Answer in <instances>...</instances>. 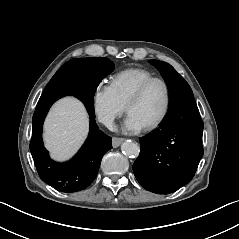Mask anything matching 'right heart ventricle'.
I'll use <instances>...</instances> for the list:
<instances>
[{
	"instance_id": "e07e8e85",
	"label": "right heart ventricle",
	"mask_w": 239,
	"mask_h": 239,
	"mask_svg": "<svg viewBox=\"0 0 239 239\" xmlns=\"http://www.w3.org/2000/svg\"><path fill=\"white\" fill-rule=\"evenodd\" d=\"M152 77H154L153 74L146 69L131 67L116 72L111 77L110 85L119 100L126 106L134 91Z\"/></svg>"
}]
</instances>
